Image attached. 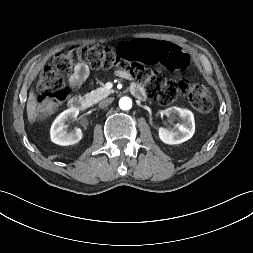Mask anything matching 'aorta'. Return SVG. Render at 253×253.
<instances>
[{
  "label": "aorta",
  "mask_w": 253,
  "mask_h": 253,
  "mask_svg": "<svg viewBox=\"0 0 253 253\" xmlns=\"http://www.w3.org/2000/svg\"><path fill=\"white\" fill-rule=\"evenodd\" d=\"M119 107L122 110H129L132 107V100L129 97H122L119 100Z\"/></svg>",
  "instance_id": "aorta-1"
}]
</instances>
